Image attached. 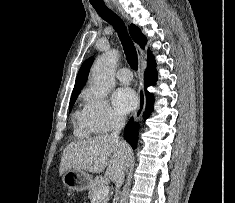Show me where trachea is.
Returning a JSON list of instances; mask_svg holds the SVG:
<instances>
[{"label": "trachea", "instance_id": "trachea-1", "mask_svg": "<svg viewBox=\"0 0 235 203\" xmlns=\"http://www.w3.org/2000/svg\"><path fill=\"white\" fill-rule=\"evenodd\" d=\"M99 16L113 26L115 31L118 33L120 41L122 43L126 59L132 69L137 70L138 68V57L135 46L127 33V29L123 21L109 10L106 5L103 4H92Z\"/></svg>", "mask_w": 235, "mask_h": 203}]
</instances>
